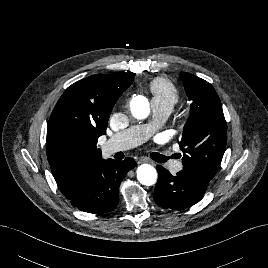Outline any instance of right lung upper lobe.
Listing matches in <instances>:
<instances>
[{"label":"right lung upper lobe","instance_id":"1","mask_svg":"<svg viewBox=\"0 0 268 268\" xmlns=\"http://www.w3.org/2000/svg\"><path fill=\"white\" fill-rule=\"evenodd\" d=\"M135 73L97 74L69 86L58 100L48 123L46 151L60 137L83 143L90 152L80 164L62 167L47 158L56 183L71 198L93 167L104 161L97 141L106 133L114 104L132 84Z\"/></svg>","mask_w":268,"mask_h":268}]
</instances>
